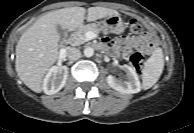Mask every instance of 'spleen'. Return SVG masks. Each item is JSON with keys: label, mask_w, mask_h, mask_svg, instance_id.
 Segmentation results:
<instances>
[{"label": "spleen", "mask_w": 194, "mask_h": 133, "mask_svg": "<svg viewBox=\"0 0 194 133\" xmlns=\"http://www.w3.org/2000/svg\"><path fill=\"white\" fill-rule=\"evenodd\" d=\"M164 56L161 48L154 50L150 58L145 62L142 73V87L151 88L160 78L164 68Z\"/></svg>", "instance_id": "3e777b00"}]
</instances>
